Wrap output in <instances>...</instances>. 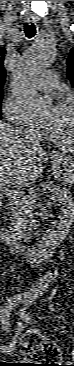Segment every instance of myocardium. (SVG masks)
<instances>
[{"label": "myocardium", "mask_w": 74, "mask_h": 366, "mask_svg": "<svg viewBox=\"0 0 74 366\" xmlns=\"http://www.w3.org/2000/svg\"><path fill=\"white\" fill-rule=\"evenodd\" d=\"M69 106L70 110H71V114H72V126H73V136L72 137H60L57 134L53 133V132H48V135L50 136V138L57 143H61L63 145H74V101L72 98L70 97H66L64 99H62L59 103V106Z\"/></svg>", "instance_id": "myocardium-1"}]
</instances>
